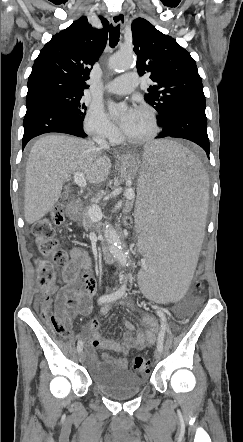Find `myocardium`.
Segmentation results:
<instances>
[{
	"mask_svg": "<svg viewBox=\"0 0 243 442\" xmlns=\"http://www.w3.org/2000/svg\"><path fill=\"white\" fill-rule=\"evenodd\" d=\"M138 110L145 111L150 115L153 128H152V131L150 132V134H148L145 137L137 138V139L129 138L126 135H124V133H122L121 139L124 142L132 144V145H141V144H145L147 142H150L151 140H153L157 136L159 129H160L158 116H157V113L154 110V108H152L149 105H142L139 107Z\"/></svg>",
	"mask_w": 243,
	"mask_h": 442,
	"instance_id": "myocardium-1",
	"label": "myocardium"
}]
</instances>
